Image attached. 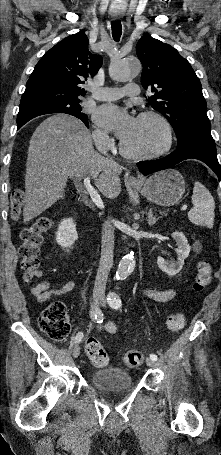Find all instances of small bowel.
<instances>
[{"label":"small bowel","instance_id":"obj_1","mask_svg":"<svg viewBox=\"0 0 221 455\" xmlns=\"http://www.w3.org/2000/svg\"><path fill=\"white\" fill-rule=\"evenodd\" d=\"M75 288V281L70 280L66 282L64 285L59 287H54L51 281H43L39 284L32 286L31 291L33 295L36 297L38 303H44L51 299L52 297H59L65 295L72 291ZM146 294L158 302H165L170 300L173 295L174 291L171 289H163V290H148ZM98 329H104L110 334H115L117 332V327L114 322L109 321L105 324L98 325Z\"/></svg>","mask_w":221,"mask_h":455}]
</instances>
